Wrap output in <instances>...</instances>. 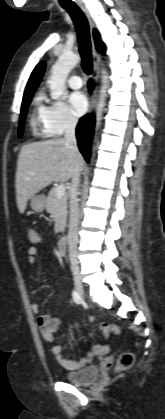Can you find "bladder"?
<instances>
[{"label": "bladder", "instance_id": "obj_1", "mask_svg": "<svg viewBox=\"0 0 165 419\" xmlns=\"http://www.w3.org/2000/svg\"><path fill=\"white\" fill-rule=\"evenodd\" d=\"M100 374L98 366H86L75 371H68L64 373V378L67 382L74 385H85L95 381Z\"/></svg>", "mask_w": 165, "mask_h": 419}]
</instances>
